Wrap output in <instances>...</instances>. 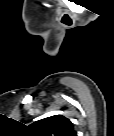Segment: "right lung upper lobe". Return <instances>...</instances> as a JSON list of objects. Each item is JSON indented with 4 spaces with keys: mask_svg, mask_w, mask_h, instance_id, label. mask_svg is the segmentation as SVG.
Returning a JSON list of instances; mask_svg holds the SVG:
<instances>
[{
    "mask_svg": "<svg viewBox=\"0 0 114 136\" xmlns=\"http://www.w3.org/2000/svg\"><path fill=\"white\" fill-rule=\"evenodd\" d=\"M29 129L36 136H76L73 123L62 115L36 121Z\"/></svg>",
    "mask_w": 114,
    "mask_h": 136,
    "instance_id": "1",
    "label": "right lung upper lobe"
}]
</instances>
